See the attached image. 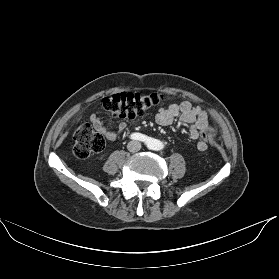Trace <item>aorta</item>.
I'll return each instance as SVG.
<instances>
[{"mask_svg":"<svg viewBox=\"0 0 279 279\" xmlns=\"http://www.w3.org/2000/svg\"><path fill=\"white\" fill-rule=\"evenodd\" d=\"M156 150H161L163 148V143L161 141L155 142Z\"/></svg>","mask_w":279,"mask_h":279,"instance_id":"aorta-1","label":"aorta"}]
</instances>
